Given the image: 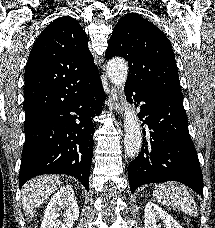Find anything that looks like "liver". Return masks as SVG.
Listing matches in <instances>:
<instances>
[{
    "label": "liver",
    "mask_w": 215,
    "mask_h": 228,
    "mask_svg": "<svg viewBox=\"0 0 215 228\" xmlns=\"http://www.w3.org/2000/svg\"><path fill=\"white\" fill-rule=\"evenodd\" d=\"M59 176H36L33 180L26 182L22 188V204L27 222L32 218L41 204L60 188Z\"/></svg>",
    "instance_id": "6515ba94"
}]
</instances>
